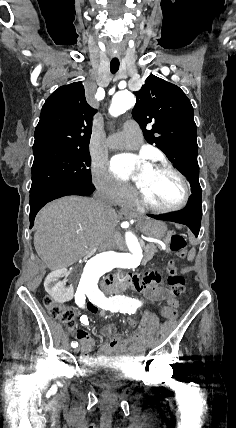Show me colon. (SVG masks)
Returning <instances> with one entry per match:
<instances>
[{
    "mask_svg": "<svg viewBox=\"0 0 236 428\" xmlns=\"http://www.w3.org/2000/svg\"><path fill=\"white\" fill-rule=\"evenodd\" d=\"M170 248L176 253L179 257H184L186 255V241L183 236L175 234L171 237L170 240ZM167 274H168V285L174 296H179L185 291V279L178 273L175 263L170 261L167 266ZM44 305L49 313V315L63 323L69 328L73 327V313L66 306L55 302L53 299L46 297L44 299ZM91 310H95L94 307L90 306ZM163 315L173 320L177 315V310L175 305L165 306L162 309ZM129 326H134L135 321L133 319L128 320Z\"/></svg>",
    "mask_w": 236,
    "mask_h": 428,
    "instance_id": "1",
    "label": "colon"
}]
</instances>
